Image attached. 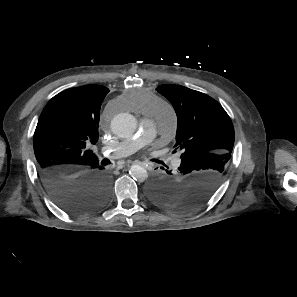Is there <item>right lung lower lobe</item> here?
Here are the masks:
<instances>
[{"instance_id":"right-lung-lower-lobe-1","label":"right lung lower lobe","mask_w":297,"mask_h":297,"mask_svg":"<svg viewBox=\"0 0 297 297\" xmlns=\"http://www.w3.org/2000/svg\"><path fill=\"white\" fill-rule=\"evenodd\" d=\"M39 174L54 202L69 213H92L108 200L110 178L99 162L78 172L44 169Z\"/></svg>"}]
</instances>
